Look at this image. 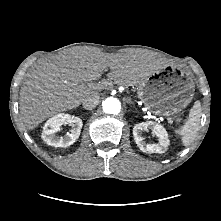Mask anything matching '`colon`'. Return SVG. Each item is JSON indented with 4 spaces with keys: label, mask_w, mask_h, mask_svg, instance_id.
Wrapping results in <instances>:
<instances>
[{
    "label": "colon",
    "mask_w": 221,
    "mask_h": 221,
    "mask_svg": "<svg viewBox=\"0 0 221 221\" xmlns=\"http://www.w3.org/2000/svg\"><path fill=\"white\" fill-rule=\"evenodd\" d=\"M184 112H181L177 117H176V122L180 123L182 118H183Z\"/></svg>",
    "instance_id": "5ec220e1"
}]
</instances>
